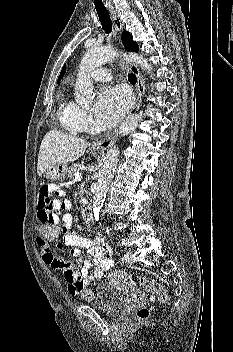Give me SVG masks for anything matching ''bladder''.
Instances as JSON below:
<instances>
[{"instance_id": "1", "label": "bladder", "mask_w": 233, "mask_h": 352, "mask_svg": "<svg viewBox=\"0 0 233 352\" xmlns=\"http://www.w3.org/2000/svg\"><path fill=\"white\" fill-rule=\"evenodd\" d=\"M125 304L124 295L109 283H101L94 291L91 305L95 309L107 314H117Z\"/></svg>"}]
</instances>
